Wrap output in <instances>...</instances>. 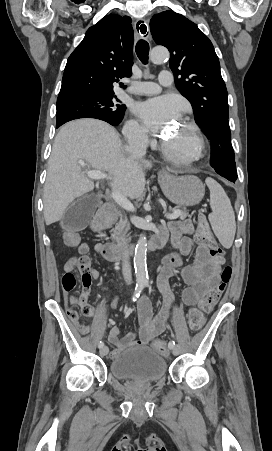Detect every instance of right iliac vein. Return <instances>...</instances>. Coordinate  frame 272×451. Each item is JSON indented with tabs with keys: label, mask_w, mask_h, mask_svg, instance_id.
Returning a JSON list of instances; mask_svg holds the SVG:
<instances>
[{
	"label": "right iliac vein",
	"mask_w": 272,
	"mask_h": 451,
	"mask_svg": "<svg viewBox=\"0 0 272 451\" xmlns=\"http://www.w3.org/2000/svg\"><path fill=\"white\" fill-rule=\"evenodd\" d=\"M100 354H101L102 356L107 355V354H108V347H107V346L101 347V348H100Z\"/></svg>",
	"instance_id": "1"
}]
</instances>
